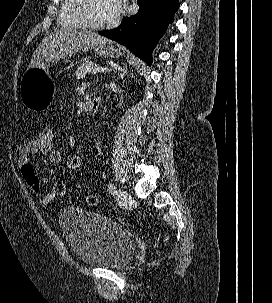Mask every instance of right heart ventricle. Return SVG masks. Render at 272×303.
Instances as JSON below:
<instances>
[{"instance_id": "1", "label": "right heart ventricle", "mask_w": 272, "mask_h": 303, "mask_svg": "<svg viewBox=\"0 0 272 303\" xmlns=\"http://www.w3.org/2000/svg\"><path fill=\"white\" fill-rule=\"evenodd\" d=\"M77 0H61V6L58 16V24L63 28L81 29L85 25L76 15Z\"/></svg>"}]
</instances>
